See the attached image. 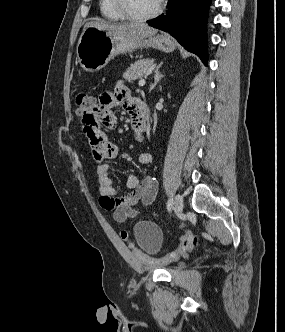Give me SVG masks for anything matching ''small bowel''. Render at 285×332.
I'll return each instance as SVG.
<instances>
[{
  "label": "small bowel",
  "mask_w": 285,
  "mask_h": 332,
  "mask_svg": "<svg viewBox=\"0 0 285 332\" xmlns=\"http://www.w3.org/2000/svg\"><path fill=\"white\" fill-rule=\"evenodd\" d=\"M95 101L94 107H89V111H84V114L80 115V122L91 144L93 157L99 163L97 166L99 203L103 209L113 213L116 222L123 223L137 216L138 205L147 206L154 202L158 185L152 176L139 180L137 174L131 173L126 182L130 192L120 196L110 175V165L105 162L117 158L120 148L109 142L103 132L116 125V117L111 111L114 107H122L128 112L137 141L143 139L146 125L141 119L138 101L121 82L113 91L96 96ZM137 161L140 167H146L152 164L153 157L148 152H142L138 155Z\"/></svg>",
  "instance_id": "c3829d8e"
}]
</instances>
